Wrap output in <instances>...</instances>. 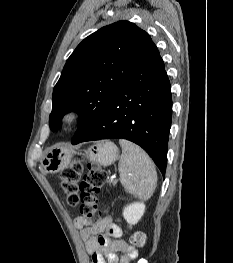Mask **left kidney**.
Instances as JSON below:
<instances>
[{"mask_svg": "<svg viewBox=\"0 0 233 263\" xmlns=\"http://www.w3.org/2000/svg\"><path fill=\"white\" fill-rule=\"evenodd\" d=\"M145 211V205L143 203H132L127 205L123 210V217L129 224H136Z\"/></svg>", "mask_w": 233, "mask_h": 263, "instance_id": "1", "label": "left kidney"}]
</instances>
